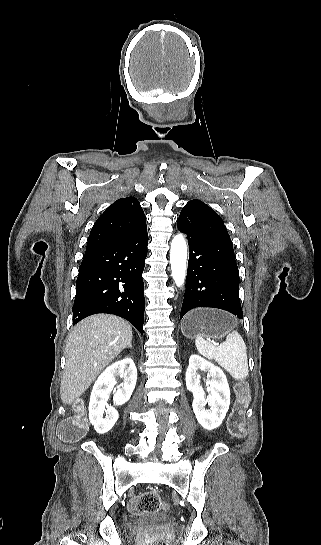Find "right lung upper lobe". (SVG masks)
<instances>
[{"mask_svg":"<svg viewBox=\"0 0 321 545\" xmlns=\"http://www.w3.org/2000/svg\"><path fill=\"white\" fill-rule=\"evenodd\" d=\"M146 226V218L135 197L115 201L95 222L86 250L125 240Z\"/></svg>","mask_w":321,"mask_h":545,"instance_id":"right-lung-upper-lobe-1","label":"right lung upper lobe"}]
</instances>
